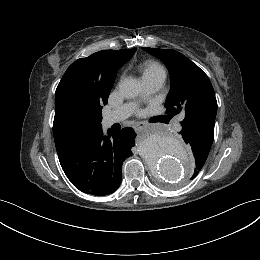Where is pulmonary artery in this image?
I'll return each mask as SVG.
<instances>
[{
  "mask_svg": "<svg viewBox=\"0 0 260 260\" xmlns=\"http://www.w3.org/2000/svg\"><path fill=\"white\" fill-rule=\"evenodd\" d=\"M145 83V95H150L156 91H158L163 83H164V74H158L151 76L144 80ZM135 104L128 103L125 104L110 113H108L104 117V123L105 125H112L117 122H121L124 119H126L130 114L134 111ZM180 123H176V128L180 129Z\"/></svg>",
  "mask_w": 260,
  "mask_h": 260,
  "instance_id": "1",
  "label": "pulmonary artery"
}]
</instances>
